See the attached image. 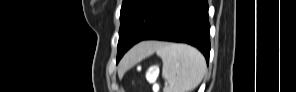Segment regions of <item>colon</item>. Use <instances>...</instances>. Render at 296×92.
<instances>
[{
    "instance_id": "colon-1",
    "label": "colon",
    "mask_w": 296,
    "mask_h": 92,
    "mask_svg": "<svg viewBox=\"0 0 296 92\" xmlns=\"http://www.w3.org/2000/svg\"><path fill=\"white\" fill-rule=\"evenodd\" d=\"M147 74L149 77L151 78H155L156 77V67L152 66L147 70Z\"/></svg>"
}]
</instances>
